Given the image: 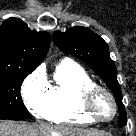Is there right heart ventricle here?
I'll list each match as a JSON object with an SVG mask.
<instances>
[{"label": "right heart ventricle", "mask_w": 136, "mask_h": 136, "mask_svg": "<svg viewBox=\"0 0 136 136\" xmlns=\"http://www.w3.org/2000/svg\"><path fill=\"white\" fill-rule=\"evenodd\" d=\"M96 85L88 73L78 64L63 60L49 85V105L43 115L48 121L65 124H92L81 105L82 93Z\"/></svg>", "instance_id": "e07e8e85"}]
</instances>
